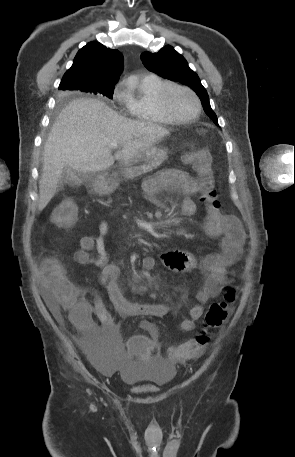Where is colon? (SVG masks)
I'll return each instance as SVG.
<instances>
[{
    "instance_id": "colon-1",
    "label": "colon",
    "mask_w": 295,
    "mask_h": 457,
    "mask_svg": "<svg viewBox=\"0 0 295 457\" xmlns=\"http://www.w3.org/2000/svg\"><path fill=\"white\" fill-rule=\"evenodd\" d=\"M184 162L192 164L198 173L200 199L209 208L219 211L220 203L215 190L214 172L211 155L206 150H191L183 157ZM77 208L71 202L61 203L55 210L52 220L59 227H68L76 219ZM42 272L51 278V289L60 306L69 310L70 318L77 320L81 309L82 294L80 289L65 275L61 264L53 257L42 262ZM236 299V290L228 289L223 300L210 305L205 315L202 330L193 338L166 352L167 360H187L203 352L211 331L222 326L229 315V305ZM120 349L121 358L127 363L150 362L155 360L154 342L149 341L147 330H132Z\"/></svg>"
}]
</instances>
